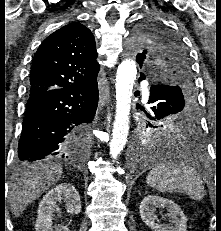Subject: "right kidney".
<instances>
[{
	"mask_svg": "<svg viewBox=\"0 0 221 231\" xmlns=\"http://www.w3.org/2000/svg\"><path fill=\"white\" fill-rule=\"evenodd\" d=\"M63 201L69 214H78L81 211L80 195L71 184H60L49 190L41 200L36 220V231H70L66 226L54 227L53 213L57 202Z\"/></svg>",
	"mask_w": 221,
	"mask_h": 231,
	"instance_id": "right-kidney-1",
	"label": "right kidney"
}]
</instances>
